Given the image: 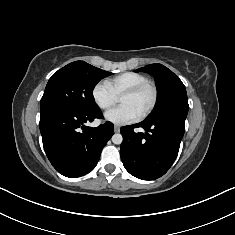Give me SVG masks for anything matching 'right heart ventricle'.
Listing matches in <instances>:
<instances>
[{"instance_id":"obj_1","label":"right heart ventricle","mask_w":235,"mask_h":235,"mask_svg":"<svg viewBox=\"0 0 235 235\" xmlns=\"http://www.w3.org/2000/svg\"><path fill=\"white\" fill-rule=\"evenodd\" d=\"M148 81L147 77L137 72H124L107 81L116 96L142 82Z\"/></svg>"}]
</instances>
